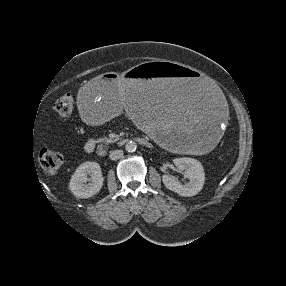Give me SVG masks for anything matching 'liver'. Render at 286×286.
<instances>
[{
	"label": "liver",
	"instance_id": "1",
	"mask_svg": "<svg viewBox=\"0 0 286 286\" xmlns=\"http://www.w3.org/2000/svg\"><path fill=\"white\" fill-rule=\"evenodd\" d=\"M127 92V88L125 87V85H122L120 90H119V95L122 98V104H124V100H125V94Z\"/></svg>",
	"mask_w": 286,
	"mask_h": 286
}]
</instances>
